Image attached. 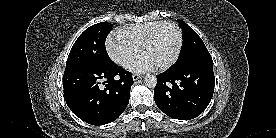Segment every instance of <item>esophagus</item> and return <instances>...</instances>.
<instances>
[{
  "label": "esophagus",
  "mask_w": 276,
  "mask_h": 138,
  "mask_svg": "<svg viewBox=\"0 0 276 138\" xmlns=\"http://www.w3.org/2000/svg\"><path fill=\"white\" fill-rule=\"evenodd\" d=\"M142 76L139 74H133L132 78L134 81H137L138 79H140Z\"/></svg>",
  "instance_id": "esophagus-1"
}]
</instances>
